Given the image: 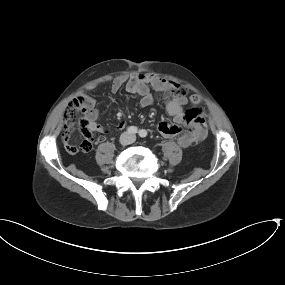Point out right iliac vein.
I'll return each mask as SVG.
<instances>
[{
    "label": "right iliac vein",
    "mask_w": 285,
    "mask_h": 285,
    "mask_svg": "<svg viewBox=\"0 0 285 285\" xmlns=\"http://www.w3.org/2000/svg\"><path fill=\"white\" fill-rule=\"evenodd\" d=\"M129 140H130V136L128 134H125L120 138V143L122 145H126L129 142Z\"/></svg>",
    "instance_id": "63e3f726"
}]
</instances>
